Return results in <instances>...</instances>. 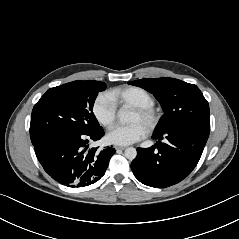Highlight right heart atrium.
Listing matches in <instances>:
<instances>
[{"instance_id": "obj_1", "label": "right heart atrium", "mask_w": 239, "mask_h": 239, "mask_svg": "<svg viewBox=\"0 0 239 239\" xmlns=\"http://www.w3.org/2000/svg\"><path fill=\"white\" fill-rule=\"evenodd\" d=\"M92 113L102 126L109 127L116 119V104L108 94L101 93L92 104Z\"/></svg>"}]
</instances>
